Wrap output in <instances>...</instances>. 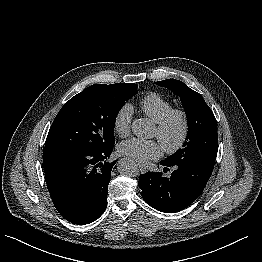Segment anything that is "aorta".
<instances>
[{"label": "aorta", "instance_id": "1", "mask_svg": "<svg viewBox=\"0 0 262 262\" xmlns=\"http://www.w3.org/2000/svg\"><path fill=\"white\" fill-rule=\"evenodd\" d=\"M153 126L148 119H135L132 123V132L138 138H149L152 134ZM118 172L127 177H136L139 170L135 161L129 158L120 159L117 164Z\"/></svg>", "mask_w": 262, "mask_h": 262}]
</instances>
